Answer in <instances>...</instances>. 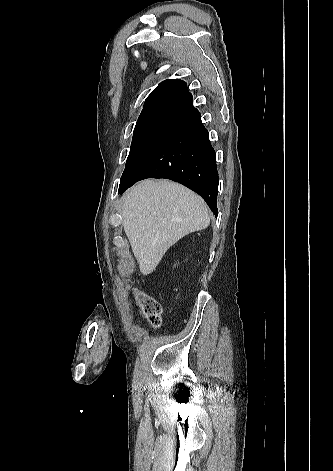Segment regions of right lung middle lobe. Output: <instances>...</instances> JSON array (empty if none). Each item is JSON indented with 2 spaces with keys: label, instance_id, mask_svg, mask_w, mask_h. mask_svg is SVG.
Returning a JSON list of instances; mask_svg holds the SVG:
<instances>
[{
  "label": "right lung middle lobe",
  "instance_id": "dd1d6c3e",
  "mask_svg": "<svg viewBox=\"0 0 333 471\" xmlns=\"http://www.w3.org/2000/svg\"><path fill=\"white\" fill-rule=\"evenodd\" d=\"M175 122V120L161 117H139L134 129L125 170L159 134Z\"/></svg>",
  "mask_w": 333,
  "mask_h": 471
}]
</instances>
